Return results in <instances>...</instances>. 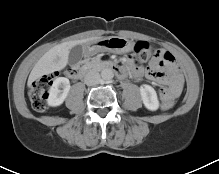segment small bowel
Returning <instances> with one entry per match:
<instances>
[{"mask_svg": "<svg viewBox=\"0 0 219 174\" xmlns=\"http://www.w3.org/2000/svg\"><path fill=\"white\" fill-rule=\"evenodd\" d=\"M130 71L135 78H140L144 73L142 68L135 65H130ZM165 72L168 75H165ZM145 73L149 79L169 86V89L162 86L156 89L155 93L159 99L171 102L179 96L183 86V75L171 52L158 49Z\"/></svg>", "mask_w": 219, "mask_h": 174, "instance_id": "obj_1", "label": "small bowel"}]
</instances>
